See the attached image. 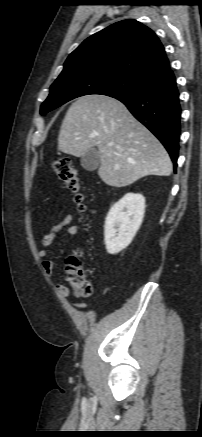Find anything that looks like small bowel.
Wrapping results in <instances>:
<instances>
[{"label":"small bowel","mask_w":202,"mask_h":437,"mask_svg":"<svg viewBox=\"0 0 202 437\" xmlns=\"http://www.w3.org/2000/svg\"><path fill=\"white\" fill-rule=\"evenodd\" d=\"M73 216L71 214H65L64 217L57 223L53 224L48 232L42 237L41 244L42 249L39 251V258L42 261V267L48 278H52L55 264L52 260L49 259V248L53 244L56 236L61 232L65 231L67 234L71 236L80 235V227L77 225H73ZM58 291L63 297L68 296V290L62 286H58ZM77 308H84L85 305L83 303H74L73 304Z\"/></svg>","instance_id":"obj_1"}]
</instances>
